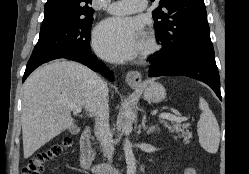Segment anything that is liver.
I'll return each instance as SVG.
<instances>
[{"mask_svg":"<svg viewBox=\"0 0 249 174\" xmlns=\"http://www.w3.org/2000/svg\"><path fill=\"white\" fill-rule=\"evenodd\" d=\"M99 79L86 66L68 60L47 63L27 78L21 116L25 159L74 126L70 105L94 115Z\"/></svg>","mask_w":249,"mask_h":174,"instance_id":"1","label":"liver"}]
</instances>
